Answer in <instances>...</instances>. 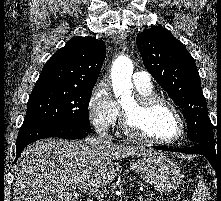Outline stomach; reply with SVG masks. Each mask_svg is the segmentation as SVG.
Listing matches in <instances>:
<instances>
[{"mask_svg":"<svg viewBox=\"0 0 221 201\" xmlns=\"http://www.w3.org/2000/svg\"><path fill=\"white\" fill-rule=\"evenodd\" d=\"M135 173L159 192H170L182 183L179 166L164 153L152 152L131 165Z\"/></svg>","mask_w":221,"mask_h":201,"instance_id":"0dacf381","label":"stomach"}]
</instances>
